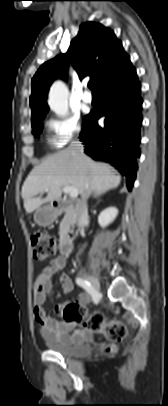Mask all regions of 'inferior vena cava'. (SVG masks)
I'll return each instance as SVG.
<instances>
[{"label": "inferior vena cava", "instance_id": "inferior-vena-cava-1", "mask_svg": "<svg viewBox=\"0 0 168 406\" xmlns=\"http://www.w3.org/2000/svg\"><path fill=\"white\" fill-rule=\"evenodd\" d=\"M69 148L75 153L76 156L82 157L84 155V148L80 141H72ZM88 194L82 196L81 208L77 217V226L79 229L83 228L84 224L88 221V208L86 199Z\"/></svg>", "mask_w": 168, "mask_h": 406}]
</instances>
